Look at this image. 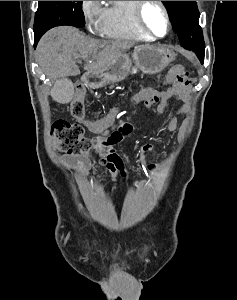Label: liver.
<instances>
[{
    "label": "liver",
    "instance_id": "obj_1",
    "mask_svg": "<svg viewBox=\"0 0 237 300\" xmlns=\"http://www.w3.org/2000/svg\"><path fill=\"white\" fill-rule=\"evenodd\" d=\"M131 47L130 41L89 39L74 27H55L40 39L37 55L47 75L59 79L60 76L80 75L75 59L87 61L84 71H99L112 65L118 55Z\"/></svg>",
    "mask_w": 237,
    "mask_h": 300
}]
</instances>
